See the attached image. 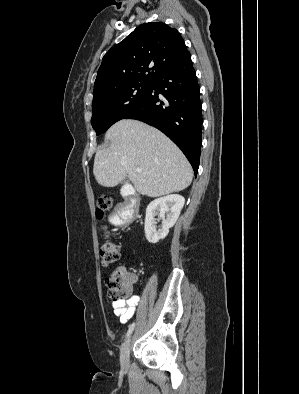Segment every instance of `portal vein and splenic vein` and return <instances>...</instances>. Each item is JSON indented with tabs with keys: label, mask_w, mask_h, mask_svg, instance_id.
Listing matches in <instances>:
<instances>
[{
	"label": "portal vein and splenic vein",
	"mask_w": 299,
	"mask_h": 394,
	"mask_svg": "<svg viewBox=\"0 0 299 394\" xmlns=\"http://www.w3.org/2000/svg\"><path fill=\"white\" fill-rule=\"evenodd\" d=\"M136 171H137L138 173H141V172H142V169H141V168H137Z\"/></svg>",
	"instance_id": "obj_1"
}]
</instances>
